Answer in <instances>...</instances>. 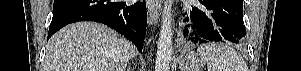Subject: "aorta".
Here are the masks:
<instances>
[{
	"label": "aorta",
	"mask_w": 301,
	"mask_h": 71,
	"mask_svg": "<svg viewBox=\"0 0 301 71\" xmlns=\"http://www.w3.org/2000/svg\"><path fill=\"white\" fill-rule=\"evenodd\" d=\"M172 1L165 3L164 14L161 24V32L158 40L157 54L155 61V71H170L172 59Z\"/></svg>",
	"instance_id": "1"
}]
</instances>
